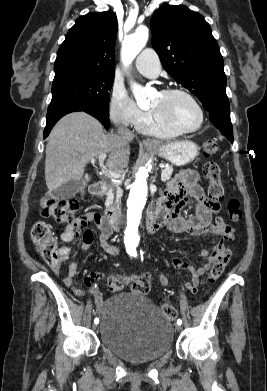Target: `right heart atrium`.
Instances as JSON below:
<instances>
[{
    "instance_id": "1",
    "label": "right heart atrium",
    "mask_w": 267,
    "mask_h": 391,
    "mask_svg": "<svg viewBox=\"0 0 267 391\" xmlns=\"http://www.w3.org/2000/svg\"><path fill=\"white\" fill-rule=\"evenodd\" d=\"M149 113L139 108L124 91L113 89L109 102V116L115 124L138 129L146 121Z\"/></svg>"
}]
</instances>
